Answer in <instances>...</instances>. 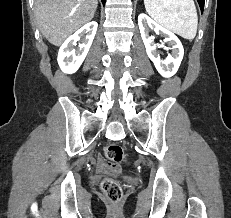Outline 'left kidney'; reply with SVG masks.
Here are the masks:
<instances>
[{
    "label": "left kidney",
    "instance_id": "left-kidney-1",
    "mask_svg": "<svg viewBox=\"0 0 231 218\" xmlns=\"http://www.w3.org/2000/svg\"><path fill=\"white\" fill-rule=\"evenodd\" d=\"M138 25L147 55L154 63L157 71L163 77L168 78L173 76L177 72L184 55V49L178 37L144 13L138 16ZM149 28L153 29L156 34L164 36V42H169L172 46V48H170L172 53L169 54L165 60L160 59L159 53L157 52L158 45L154 44L153 38L149 36Z\"/></svg>",
    "mask_w": 231,
    "mask_h": 218
}]
</instances>
